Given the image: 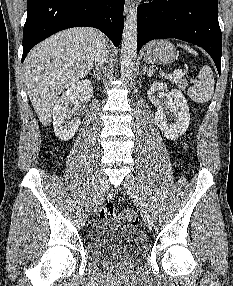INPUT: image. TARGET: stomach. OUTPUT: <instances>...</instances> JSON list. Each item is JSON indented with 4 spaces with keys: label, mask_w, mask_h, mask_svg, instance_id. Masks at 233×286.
Segmentation results:
<instances>
[{
    "label": "stomach",
    "mask_w": 233,
    "mask_h": 286,
    "mask_svg": "<svg viewBox=\"0 0 233 286\" xmlns=\"http://www.w3.org/2000/svg\"><path fill=\"white\" fill-rule=\"evenodd\" d=\"M176 58V49L174 45L161 40L150 45L145 52L144 59L147 63L169 64Z\"/></svg>",
    "instance_id": "0dacf381"
}]
</instances>
